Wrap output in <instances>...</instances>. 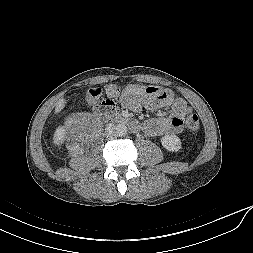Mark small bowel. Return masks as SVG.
Here are the masks:
<instances>
[{
	"instance_id": "c3829d8e",
	"label": "small bowel",
	"mask_w": 253,
	"mask_h": 253,
	"mask_svg": "<svg viewBox=\"0 0 253 253\" xmlns=\"http://www.w3.org/2000/svg\"><path fill=\"white\" fill-rule=\"evenodd\" d=\"M101 103L115 111L124 108L132 111L143 109L157 110L164 107H171V115L168 118L155 117L142 124L143 131L149 136H164L179 133L183 129L184 117L190 113V108L186 102L176 97L170 90L162 89L160 95H147L123 99L122 104L119 100L110 99L108 96L101 98Z\"/></svg>"
}]
</instances>
